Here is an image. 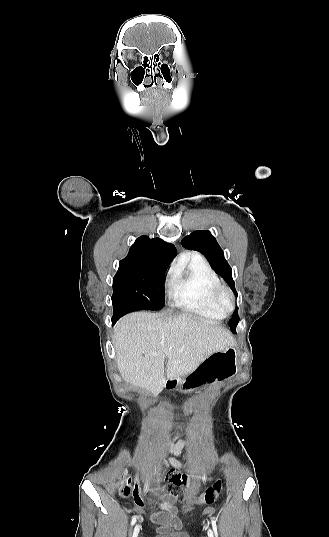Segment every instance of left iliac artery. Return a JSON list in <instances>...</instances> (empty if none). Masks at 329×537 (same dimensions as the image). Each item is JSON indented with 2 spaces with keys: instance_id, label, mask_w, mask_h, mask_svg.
<instances>
[{
  "instance_id": "44dca946",
  "label": "left iliac artery",
  "mask_w": 329,
  "mask_h": 537,
  "mask_svg": "<svg viewBox=\"0 0 329 537\" xmlns=\"http://www.w3.org/2000/svg\"><path fill=\"white\" fill-rule=\"evenodd\" d=\"M211 523H212V528H213L214 534H215L216 537H218L216 521L213 518L211 519Z\"/></svg>"
}]
</instances>
